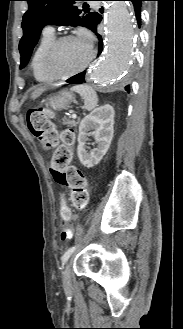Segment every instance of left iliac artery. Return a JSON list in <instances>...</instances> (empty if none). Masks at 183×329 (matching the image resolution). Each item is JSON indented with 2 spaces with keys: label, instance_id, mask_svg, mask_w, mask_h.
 <instances>
[{
  "label": "left iliac artery",
  "instance_id": "44dca946",
  "mask_svg": "<svg viewBox=\"0 0 183 329\" xmlns=\"http://www.w3.org/2000/svg\"><path fill=\"white\" fill-rule=\"evenodd\" d=\"M76 249L75 246L69 248L64 255L62 256V263L65 264L66 261L68 260V258L70 257V255L74 252V250Z\"/></svg>",
  "mask_w": 183,
  "mask_h": 329
}]
</instances>
